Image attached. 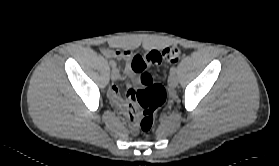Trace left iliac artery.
<instances>
[{"label":"left iliac artery","mask_w":279,"mask_h":166,"mask_svg":"<svg viewBox=\"0 0 279 166\" xmlns=\"http://www.w3.org/2000/svg\"><path fill=\"white\" fill-rule=\"evenodd\" d=\"M175 72H176V67H175V66L171 67L170 73H171V74H174Z\"/></svg>","instance_id":"obj_1"}]
</instances>
